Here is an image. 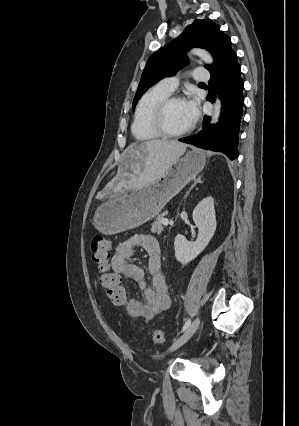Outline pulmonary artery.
<instances>
[{
  "label": "pulmonary artery",
  "mask_w": 299,
  "mask_h": 426,
  "mask_svg": "<svg viewBox=\"0 0 299 426\" xmlns=\"http://www.w3.org/2000/svg\"><path fill=\"white\" fill-rule=\"evenodd\" d=\"M193 78L197 81H206L209 76L207 71L204 68H197L194 70ZM179 79L178 77H166L159 83L165 90L172 93L178 86Z\"/></svg>",
  "instance_id": "1"
}]
</instances>
